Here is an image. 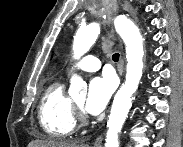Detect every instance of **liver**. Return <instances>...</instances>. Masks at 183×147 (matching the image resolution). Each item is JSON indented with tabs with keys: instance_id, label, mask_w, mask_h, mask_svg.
I'll return each mask as SVG.
<instances>
[{
	"instance_id": "6515ba94",
	"label": "liver",
	"mask_w": 183,
	"mask_h": 147,
	"mask_svg": "<svg viewBox=\"0 0 183 147\" xmlns=\"http://www.w3.org/2000/svg\"><path fill=\"white\" fill-rule=\"evenodd\" d=\"M28 147H85L77 142H66L54 139L34 140L28 144Z\"/></svg>"
}]
</instances>
